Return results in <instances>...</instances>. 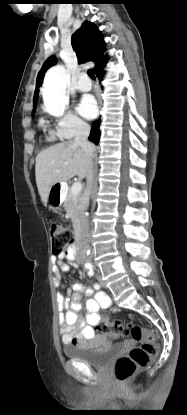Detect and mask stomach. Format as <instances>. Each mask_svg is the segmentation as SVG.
I'll return each instance as SVG.
<instances>
[{
	"label": "stomach",
	"instance_id": "1",
	"mask_svg": "<svg viewBox=\"0 0 187 415\" xmlns=\"http://www.w3.org/2000/svg\"><path fill=\"white\" fill-rule=\"evenodd\" d=\"M65 183H57L53 185L49 191L48 202L51 207L57 209L63 202V190Z\"/></svg>",
	"mask_w": 187,
	"mask_h": 415
}]
</instances>
